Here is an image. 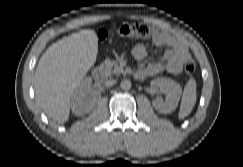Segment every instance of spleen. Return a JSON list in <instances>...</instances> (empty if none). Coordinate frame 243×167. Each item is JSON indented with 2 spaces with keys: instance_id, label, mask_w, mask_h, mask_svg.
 Listing matches in <instances>:
<instances>
[{
  "instance_id": "1",
  "label": "spleen",
  "mask_w": 243,
  "mask_h": 167,
  "mask_svg": "<svg viewBox=\"0 0 243 167\" xmlns=\"http://www.w3.org/2000/svg\"><path fill=\"white\" fill-rule=\"evenodd\" d=\"M196 103V80L190 78L184 87L182 94L179 118L183 119L187 117L194 108Z\"/></svg>"
}]
</instances>
